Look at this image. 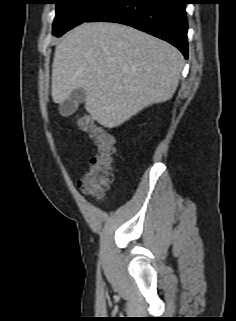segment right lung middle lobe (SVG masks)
Wrapping results in <instances>:
<instances>
[{"label": "right lung middle lobe", "instance_id": "right-lung-middle-lobe-1", "mask_svg": "<svg viewBox=\"0 0 236 321\" xmlns=\"http://www.w3.org/2000/svg\"><path fill=\"white\" fill-rule=\"evenodd\" d=\"M109 0H54L56 17L53 34L56 37L83 23L101 9Z\"/></svg>", "mask_w": 236, "mask_h": 321}]
</instances>
